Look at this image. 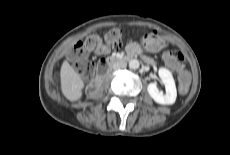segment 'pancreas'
<instances>
[{
	"label": "pancreas",
	"instance_id": "cf45deb5",
	"mask_svg": "<svg viewBox=\"0 0 230 155\" xmlns=\"http://www.w3.org/2000/svg\"><path fill=\"white\" fill-rule=\"evenodd\" d=\"M144 60H145V62L148 63V64H154V63H155L154 60H153L152 58H145Z\"/></svg>",
	"mask_w": 230,
	"mask_h": 155
}]
</instances>
